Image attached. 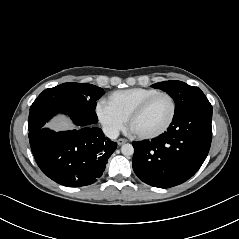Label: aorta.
<instances>
[{
  "label": "aorta",
  "mask_w": 239,
  "mask_h": 239,
  "mask_svg": "<svg viewBox=\"0 0 239 239\" xmlns=\"http://www.w3.org/2000/svg\"><path fill=\"white\" fill-rule=\"evenodd\" d=\"M121 152L125 156H131L134 153V148L131 144L127 143V144L122 145Z\"/></svg>",
  "instance_id": "aorta-1"
}]
</instances>
